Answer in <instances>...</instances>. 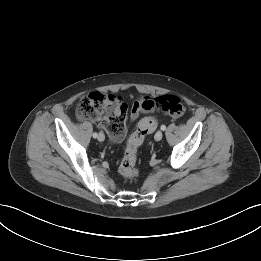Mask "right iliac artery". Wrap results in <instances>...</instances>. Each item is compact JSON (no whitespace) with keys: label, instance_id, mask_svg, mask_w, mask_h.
<instances>
[{"label":"right iliac artery","instance_id":"obj_1","mask_svg":"<svg viewBox=\"0 0 261 261\" xmlns=\"http://www.w3.org/2000/svg\"><path fill=\"white\" fill-rule=\"evenodd\" d=\"M98 134L96 132L93 133V137L97 138Z\"/></svg>","mask_w":261,"mask_h":261}]
</instances>
